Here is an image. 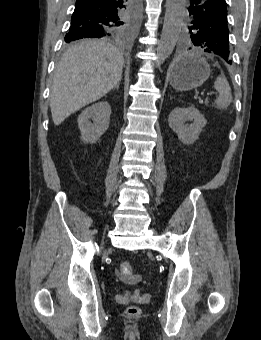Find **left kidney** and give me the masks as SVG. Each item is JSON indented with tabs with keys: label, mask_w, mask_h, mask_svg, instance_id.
<instances>
[{
	"label": "left kidney",
	"mask_w": 261,
	"mask_h": 340,
	"mask_svg": "<svg viewBox=\"0 0 261 340\" xmlns=\"http://www.w3.org/2000/svg\"><path fill=\"white\" fill-rule=\"evenodd\" d=\"M186 121H191L186 125ZM170 128L178 135L179 140L184 144H193L205 127V117L194 106L188 108L176 107L168 118Z\"/></svg>",
	"instance_id": "1"
}]
</instances>
